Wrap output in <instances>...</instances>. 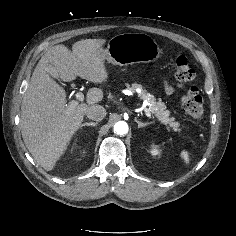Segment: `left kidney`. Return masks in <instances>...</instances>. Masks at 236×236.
Returning a JSON list of instances; mask_svg holds the SVG:
<instances>
[{
	"label": "left kidney",
	"mask_w": 236,
	"mask_h": 236,
	"mask_svg": "<svg viewBox=\"0 0 236 236\" xmlns=\"http://www.w3.org/2000/svg\"><path fill=\"white\" fill-rule=\"evenodd\" d=\"M150 152L153 156H157L161 154V150L157 146H152Z\"/></svg>",
	"instance_id": "5707ae66"
}]
</instances>
